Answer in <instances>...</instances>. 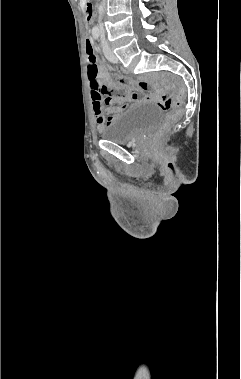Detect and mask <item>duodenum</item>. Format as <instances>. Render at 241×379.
Wrapping results in <instances>:
<instances>
[{"label":"duodenum","instance_id":"410a0bca","mask_svg":"<svg viewBox=\"0 0 241 379\" xmlns=\"http://www.w3.org/2000/svg\"><path fill=\"white\" fill-rule=\"evenodd\" d=\"M85 11H86L87 18L91 19L92 18V4H91V0H86Z\"/></svg>","mask_w":241,"mask_h":379}]
</instances>
